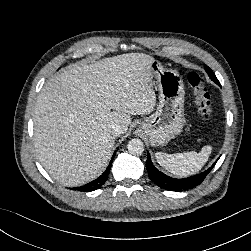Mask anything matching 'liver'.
Listing matches in <instances>:
<instances>
[{"mask_svg":"<svg viewBox=\"0 0 251 251\" xmlns=\"http://www.w3.org/2000/svg\"><path fill=\"white\" fill-rule=\"evenodd\" d=\"M126 53L72 64L42 88L34 112V144L46 171L65 186H80L106 167L115 143L111 126L128 130L131 115L154 110L149 62Z\"/></svg>","mask_w":251,"mask_h":251,"instance_id":"liver-1","label":"liver"}]
</instances>
